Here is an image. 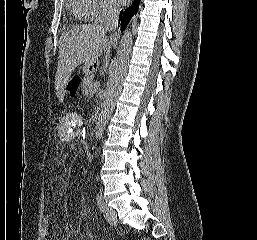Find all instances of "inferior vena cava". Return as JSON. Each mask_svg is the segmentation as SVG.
Listing matches in <instances>:
<instances>
[{
  "instance_id": "1",
  "label": "inferior vena cava",
  "mask_w": 257,
  "mask_h": 240,
  "mask_svg": "<svg viewBox=\"0 0 257 240\" xmlns=\"http://www.w3.org/2000/svg\"><path fill=\"white\" fill-rule=\"evenodd\" d=\"M120 8L115 3H110L107 7L105 21L100 26L103 31H112L116 29L119 21Z\"/></svg>"
}]
</instances>
